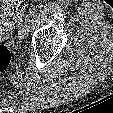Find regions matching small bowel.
I'll return each mask as SVG.
<instances>
[{
	"instance_id": "1",
	"label": "small bowel",
	"mask_w": 113,
	"mask_h": 113,
	"mask_svg": "<svg viewBox=\"0 0 113 113\" xmlns=\"http://www.w3.org/2000/svg\"><path fill=\"white\" fill-rule=\"evenodd\" d=\"M1 18L3 17V15H1L0 16ZM1 18H0V22H1ZM3 23V25L5 26H7L8 24H9V21H8V19H6V21H4V22H2ZM1 26V25H0Z\"/></svg>"
}]
</instances>
